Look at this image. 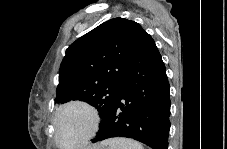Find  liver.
<instances>
[{"label":"liver","mask_w":227,"mask_h":149,"mask_svg":"<svg viewBox=\"0 0 227 149\" xmlns=\"http://www.w3.org/2000/svg\"><path fill=\"white\" fill-rule=\"evenodd\" d=\"M96 147H99V146H93V148H96Z\"/></svg>","instance_id":"obj_1"}]
</instances>
